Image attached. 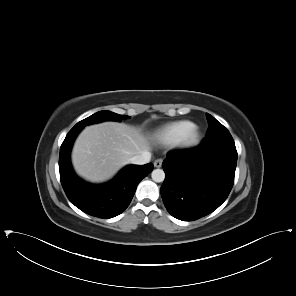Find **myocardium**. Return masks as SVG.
Instances as JSON below:
<instances>
[{
	"label": "myocardium",
	"instance_id": "obj_1",
	"mask_svg": "<svg viewBox=\"0 0 296 296\" xmlns=\"http://www.w3.org/2000/svg\"><path fill=\"white\" fill-rule=\"evenodd\" d=\"M200 138V129L197 126L193 125L184 133L181 139L177 142V145L181 148H192L199 143Z\"/></svg>",
	"mask_w": 296,
	"mask_h": 296
}]
</instances>
